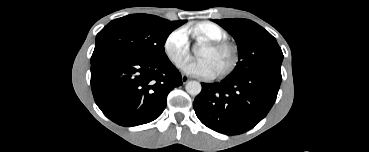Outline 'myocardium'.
Wrapping results in <instances>:
<instances>
[{"label":"myocardium","instance_id":"1","mask_svg":"<svg viewBox=\"0 0 369 152\" xmlns=\"http://www.w3.org/2000/svg\"><path fill=\"white\" fill-rule=\"evenodd\" d=\"M204 46L212 50H229L232 54L229 65L222 71L216 73L215 77L217 78L225 77L231 74L236 69L239 62V52L237 47L233 43L227 40L208 41L204 44Z\"/></svg>","mask_w":369,"mask_h":152}]
</instances>
